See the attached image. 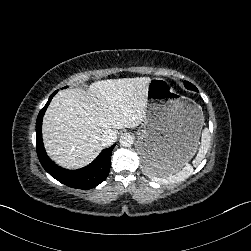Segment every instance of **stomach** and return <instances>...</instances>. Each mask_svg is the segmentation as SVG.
I'll return each instance as SVG.
<instances>
[{"label": "stomach", "instance_id": "1", "mask_svg": "<svg viewBox=\"0 0 251 251\" xmlns=\"http://www.w3.org/2000/svg\"><path fill=\"white\" fill-rule=\"evenodd\" d=\"M146 99L143 128L137 133V152L147 175L166 177L194 156L204 114L200 105L177 93L163 78L151 79Z\"/></svg>", "mask_w": 251, "mask_h": 251}]
</instances>
